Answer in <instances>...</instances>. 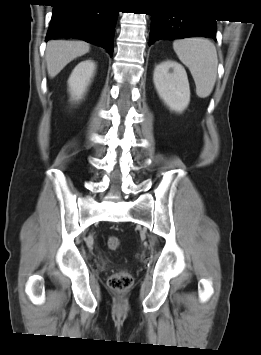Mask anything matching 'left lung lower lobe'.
<instances>
[{
    "label": "left lung lower lobe",
    "instance_id": "left-lung-lower-lobe-1",
    "mask_svg": "<svg viewBox=\"0 0 261 355\" xmlns=\"http://www.w3.org/2000/svg\"><path fill=\"white\" fill-rule=\"evenodd\" d=\"M149 45L162 38L203 36L216 40V21L208 18L151 15Z\"/></svg>",
    "mask_w": 261,
    "mask_h": 355
}]
</instances>
